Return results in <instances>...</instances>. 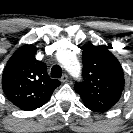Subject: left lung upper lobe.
I'll use <instances>...</instances> for the list:
<instances>
[{
    "mask_svg": "<svg viewBox=\"0 0 133 133\" xmlns=\"http://www.w3.org/2000/svg\"><path fill=\"white\" fill-rule=\"evenodd\" d=\"M83 81L75 83L84 105L96 112L114 106L124 89V73L117 58L104 46L83 49Z\"/></svg>",
    "mask_w": 133,
    "mask_h": 133,
    "instance_id": "left-lung-upper-lobe-1",
    "label": "left lung upper lobe"
}]
</instances>
